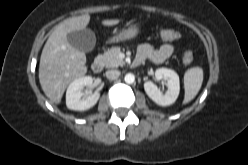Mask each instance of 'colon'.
Here are the masks:
<instances>
[{"label": "colon", "instance_id": "colon-1", "mask_svg": "<svg viewBox=\"0 0 248 165\" xmlns=\"http://www.w3.org/2000/svg\"><path fill=\"white\" fill-rule=\"evenodd\" d=\"M160 38L165 41L177 40L180 37L179 32L172 29H162L159 32ZM183 63L185 65H190L194 61V55L190 50H187L183 53L182 57Z\"/></svg>", "mask_w": 248, "mask_h": 165}]
</instances>
